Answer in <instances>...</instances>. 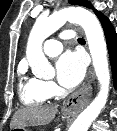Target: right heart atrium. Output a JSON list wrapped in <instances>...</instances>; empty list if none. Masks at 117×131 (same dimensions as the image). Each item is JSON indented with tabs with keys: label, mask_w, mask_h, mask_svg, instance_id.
<instances>
[{
	"label": "right heart atrium",
	"mask_w": 117,
	"mask_h": 131,
	"mask_svg": "<svg viewBox=\"0 0 117 131\" xmlns=\"http://www.w3.org/2000/svg\"><path fill=\"white\" fill-rule=\"evenodd\" d=\"M44 87L50 96H54L58 93L57 85L52 81L44 82Z\"/></svg>",
	"instance_id": "obj_1"
}]
</instances>
